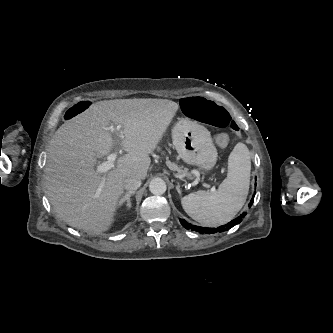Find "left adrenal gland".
Returning <instances> with one entry per match:
<instances>
[{"label":"left adrenal gland","mask_w":333,"mask_h":333,"mask_svg":"<svg viewBox=\"0 0 333 333\" xmlns=\"http://www.w3.org/2000/svg\"><path fill=\"white\" fill-rule=\"evenodd\" d=\"M176 189H177L178 193L181 194V191H180V185H177V186H176Z\"/></svg>","instance_id":"1"}]
</instances>
